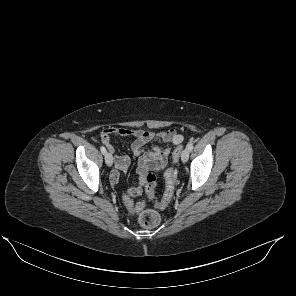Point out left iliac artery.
I'll return each instance as SVG.
<instances>
[{
	"instance_id": "1",
	"label": "left iliac artery",
	"mask_w": 296,
	"mask_h": 296,
	"mask_svg": "<svg viewBox=\"0 0 296 296\" xmlns=\"http://www.w3.org/2000/svg\"><path fill=\"white\" fill-rule=\"evenodd\" d=\"M187 148H188V150L191 152L192 150H193V143H189L188 145H187Z\"/></svg>"
}]
</instances>
